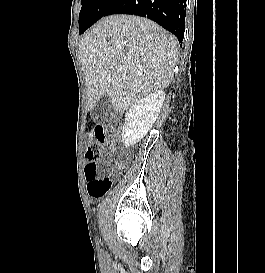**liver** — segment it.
Wrapping results in <instances>:
<instances>
[{
	"instance_id": "6515ba94",
	"label": "liver",
	"mask_w": 265,
	"mask_h": 273,
	"mask_svg": "<svg viewBox=\"0 0 265 273\" xmlns=\"http://www.w3.org/2000/svg\"><path fill=\"white\" fill-rule=\"evenodd\" d=\"M178 41L155 22L134 15H111L87 32L79 57L87 86V107L108 96L124 112L143 97L169 86Z\"/></svg>"
}]
</instances>
